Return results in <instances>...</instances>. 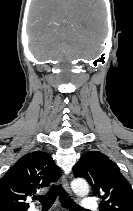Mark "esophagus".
Instances as JSON below:
<instances>
[{"mask_svg":"<svg viewBox=\"0 0 133 211\" xmlns=\"http://www.w3.org/2000/svg\"><path fill=\"white\" fill-rule=\"evenodd\" d=\"M61 184H62L63 188H64L69 194H71V190H70L69 183H68V179H67V176H66V175H62V177H61Z\"/></svg>","mask_w":133,"mask_h":211,"instance_id":"obj_1","label":"esophagus"}]
</instances>
